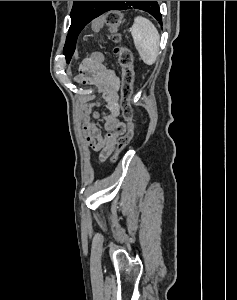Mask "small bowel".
Wrapping results in <instances>:
<instances>
[{
    "mask_svg": "<svg viewBox=\"0 0 237 300\" xmlns=\"http://www.w3.org/2000/svg\"><path fill=\"white\" fill-rule=\"evenodd\" d=\"M76 79L83 84L92 86L102 95L103 104L97 103L82 110V128L87 145L93 150L99 151L101 159H105L115 149L117 140L126 130L125 124L119 119L120 79L113 66L94 65L86 60L80 64ZM101 106L105 109L102 113L93 110V107ZM99 118L103 120L105 135L94 122Z\"/></svg>",
    "mask_w": 237,
    "mask_h": 300,
    "instance_id": "small-bowel-1",
    "label": "small bowel"
}]
</instances>
